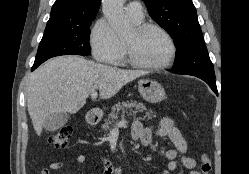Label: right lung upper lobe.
<instances>
[{
    "mask_svg": "<svg viewBox=\"0 0 249 174\" xmlns=\"http://www.w3.org/2000/svg\"><path fill=\"white\" fill-rule=\"evenodd\" d=\"M101 0H57L45 31L71 27L94 20Z\"/></svg>",
    "mask_w": 249,
    "mask_h": 174,
    "instance_id": "right-lung-upper-lobe-1",
    "label": "right lung upper lobe"
}]
</instances>
